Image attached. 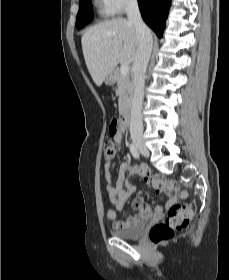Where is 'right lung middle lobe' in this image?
I'll return each mask as SVG.
<instances>
[{"label": "right lung middle lobe", "mask_w": 229, "mask_h": 280, "mask_svg": "<svg viewBox=\"0 0 229 280\" xmlns=\"http://www.w3.org/2000/svg\"><path fill=\"white\" fill-rule=\"evenodd\" d=\"M79 11L76 18V27L82 28L93 19L91 0H80Z\"/></svg>", "instance_id": "1"}]
</instances>
